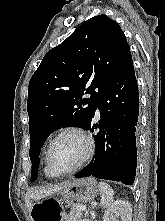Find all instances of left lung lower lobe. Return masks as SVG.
I'll return each instance as SVG.
<instances>
[{
    "mask_svg": "<svg viewBox=\"0 0 165 221\" xmlns=\"http://www.w3.org/2000/svg\"><path fill=\"white\" fill-rule=\"evenodd\" d=\"M99 124L93 123L96 109ZM139 115L138 85L132 56L104 88L85 129L97 127L94 136L96 154L90 164L75 175L76 178L94 176L132 185L136 175V128Z\"/></svg>",
    "mask_w": 165,
    "mask_h": 221,
    "instance_id": "obj_1",
    "label": "left lung lower lobe"
}]
</instances>
